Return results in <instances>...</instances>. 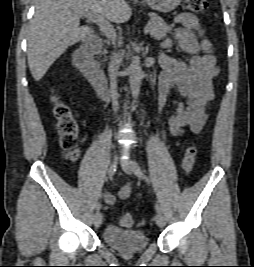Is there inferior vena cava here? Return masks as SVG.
<instances>
[{"mask_svg":"<svg viewBox=\"0 0 254 267\" xmlns=\"http://www.w3.org/2000/svg\"><path fill=\"white\" fill-rule=\"evenodd\" d=\"M118 62L116 55L111 58L109 63V77H110V93L112 96L113 107L117 109L118 106V92H117V66Z\"/></svg>","mask_w":254,"mask_h":267,"instance_id":"602c4592","label":"inferior vena cava"}]
</instances>
